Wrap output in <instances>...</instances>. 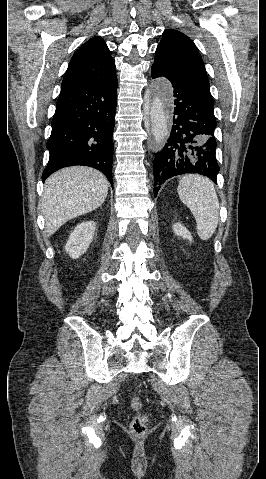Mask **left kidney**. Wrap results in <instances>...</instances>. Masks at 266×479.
<instances>
[{
    "mask_svg": "<svg viewBox=\"0 0 266 479\" xmlns=\"http://www.w3.org/2000/svg\"><path fill=\"white\" fill-rule=\"evenodd\" d=\"M173 231L177 236L182 237L183 239H187L190 242H192L193 238H192L191 233L182 224L175 223L173 225Z\"/></svg>",
    "mask_w": 266,
    "mask_h": 479,
    "instance_id": "5707ae66",
    "label": "left kidney"
}]
</instances>
